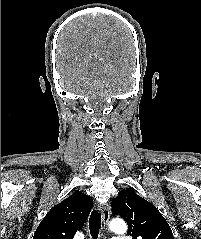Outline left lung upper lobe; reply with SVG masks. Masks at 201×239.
<instances>
[{
  "mask_svg": "<svg viewBox=\"0 0 201 239\" xmlns=\"http://www.w3.org/2000/svg\"><path fill=\"white\" fill-rule=\"evenodd\" d=\"M111 206L112 214L125 219L128 235L133 239H174L169 224L159 210L137 195L133 188L120 191Z\"/></svg>",
  "mask_w": 201,
  "mask_h": 239,
  "instance_id": "1",
  "label": "left lung upper lobe"
}]
</instances>
